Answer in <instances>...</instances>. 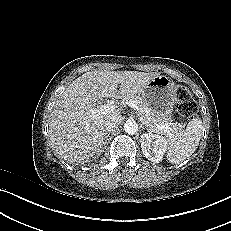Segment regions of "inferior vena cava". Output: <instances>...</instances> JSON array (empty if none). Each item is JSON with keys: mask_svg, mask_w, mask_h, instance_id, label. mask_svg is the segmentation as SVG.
<instances>
[{"mask_svg": "<svg viewBox=\"0 0 231 231\" xmlns=\"http://www.w3.org/2000/svg\"><path fill=\"white\" fill-rule=\"evenodd\" d=\"M121 122L119 118H112L106 121L105 127L107 131H113Z\"/></svg>", "mask_w": 231, "mask_h": 231, "instance_id": "inferior-vena-cava-1", "label": "inferior vena cava"}]
</instances>
